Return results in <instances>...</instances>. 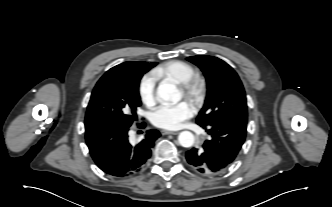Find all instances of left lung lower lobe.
I'll return each instance as SVG.
<instances>
[{
	"label": "left lung lower lobe",
	"mask_w": 332,
	"mask_h": 207,
	"mask_svg": "<svg viewBox=\"0 0 332 207\" xmlns=\"http://www.w3.org/2000/svg\"><path fill=\"white\" fill-rule=\"evenodd\" d=\"M246 127V123L236 121L203 127L211 137L201 148L186 152L190 167L204 175H215L226 170L245 141Z\"/></svg>",
	"instance_id": "1"
}]
</instances>
